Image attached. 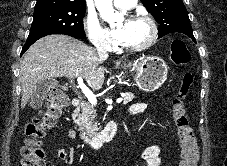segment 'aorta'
Listing matches in <instances>:
<instances>
[{"label":"aorta","instance_id":"obj_1","mask_svg":"<svg viewBox=\"0 0 227 166\" xmlns=\"http://www.w3.org/2000/svg\"><path fill=\"white\" fill-rule=\"evenodd\" d=\"M95 4L100 16L110 25L124 19L121 13L114 11L112 0H95Z\"/></svg>","mask_w":227,"mask_h":166}]
</instances>
